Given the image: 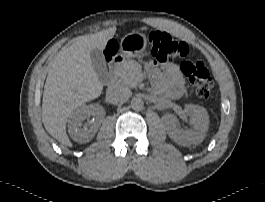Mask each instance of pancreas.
<instances>
[{
  "label": "pancreas",
  "instance_id": "cf45deb5",
  "mask_svg": "<svg viewBox=\"0 0 265 202\" xmlns=\"http://www.w3.org/2000/svg\"><path fill=\"white\" fill-rule=\"evenodd\" d=\"M114 73L121 83L132 88L137 86L142 75L140 64L134 60H128L118 65Z\"/></svg>",
  "mask_w": 265,
  "mask_h": 202
}]
</instances>
